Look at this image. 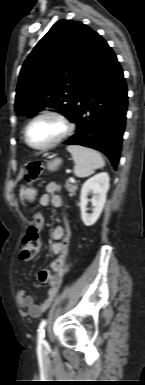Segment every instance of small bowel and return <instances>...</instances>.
Instances as JSON below:
<instances>
[{
	"label": "small bowel",
	"instance_id": "obj_1",
	"mask_svg": "<svg viewBox=\"0 0 145 385\" xmlns=\"http://www.w3.org/2000/svg\"><path fill=\"white\" fill-rule=\"evenodd\" d=\"M60 187L56 182H50L46 186V193L43 194L39 203L42 206L51 205L54 208H61L63 206V198L59 194ZM53 242L51 244V251L58 255L54 262L52 269H44L38 273V281L41 284H49L48 297L43 299L40 303H35L33 298L28 295L25 290L17 292V303L21 309L28 312L31 317L38 318L50 306L51 302L58 293L62 284L63 276L67 272L69 266L66 259L63 267L60 270L55 269V264L62 258L66 257L68 243L70 240V231L67 225L58 223L52 232Z\"/></svg>",
	"mask_w": 145,
	"mask_h": 385
}]
</instances>
